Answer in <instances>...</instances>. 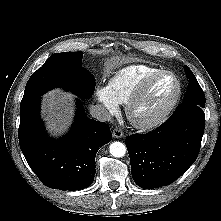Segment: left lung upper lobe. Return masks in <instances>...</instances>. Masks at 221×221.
Returning a JSON list of instances; mask_svg holds the SVG:
<instances>
[{"instance_id": "5c2ea615", "label": "left lung upper lobe", "mask_w": 221, "mask_h": 221, "mask_svg": "<svg viewBox=\"0 0 221 221\" xmlns=\"http://www.w3.org/2000/svg\"><path fill=\"white\" fill-rule=\"evenodd\" d=\"M185 70L187 77L189 78V87L183 103L197 105L203 108L205 106L204 93L192 71L187 66H185Z\"/></svg>"}]
</instances>
